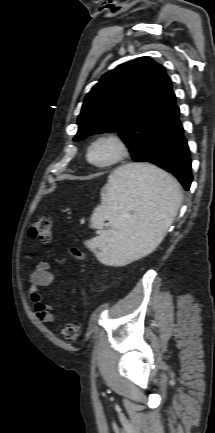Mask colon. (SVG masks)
Returning a JSON list of instances; mask_svg holds the SVG:
<instances>
[{"instance_id":"obj_1","label":"colon","mask_w":215,"mask_h":433,"mask_svg":"<svg viewBox=\"0 0 215 433\" xmlns=\"http://www.w3.org/2000/svg\"><path fill=\"white\" fill-rule=\"evenodd\" d=\"M29 236L38 239L43 244H48L52 236V220L49 216H42L37 219L29 229ZM71 256L80 261L82 259L79 250L73 248L70 250ZM80 324L77 322L66 323L62 328V334L65 339L75 340L80 334Z\"/></svg>"}]
</instances>
